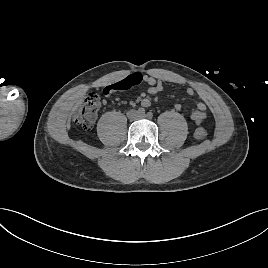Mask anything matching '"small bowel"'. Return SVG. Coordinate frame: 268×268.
<instances>
[{
  "label": "small bowel",
  "instance_id": "1",
  "mask_svg": "<svg viewBox=\"0 0 268 268\" xmlns=\"http://www.w3.org/2000/svg\"><path fill=\"white\" fill-rule=\"evenodd\" d=\"M126 78H131L137 81V84L139 83H145L147 85V93L150 95L157 94L161 92L164 88V83L161 79L153 77L151 75L141 74L139 72L133 73L122 80ZM120 80V81H122ZM118 81V82H120ZM117 82V83H118ZM116 84V83H115ZM186 94L189 96H193L195 94V90L191 87L186 88ZM115 101H119V99H115ZM151 104V100L149 97H143L141 99V105L144 107H149ZM176 110L181 109L180 104L175 105ZM206 105L203 102H199L195 109H193L190 113L191 120L196 124L200 125L204 122L206 119Z\"/></svg>",
  "mask_w": 268,
  "mask_h": 268
}]
</instances>
